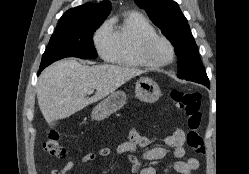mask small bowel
<instances>
[{"mask_svg": "<svg viewBox=\"0 0 249 174\" xmlns=\"http://www.w3.org/2000/svg\"><path fill=\"white\" fill-rule=\"evenodd\" d=\"M184 142L185 133L180 128H174L172 133L164 138V144L173 150V157L176 159L173 163V169L179 174H192L193 171L199 168V161L196 158L181 160L186 155ZM149 144L150 139L148 137L141 135L135 128H132L129 132V139L121 143L116 149L103 148L98 153H88L79 160L68 161L60 169H52L50 174H69L74 169H78L82 165L94 161L98 156L106 157L112 154L118 158L124 154H128L132 171L136 174H157L154 167H141V162L163 159L166 156V149L164 147L150 148L140 158L133 155L137 149L147 147Z\"/></svg>", "mask_w": 249, "mask_h": 174, "instance_id": "1", "label": "small bowel"}]
</instances>
